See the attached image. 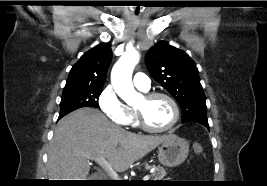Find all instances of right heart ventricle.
<instances>
[{
  "mask_svg": "<svg viewBox=\"0 0 267 186\" xmlns=\"http://www.w3.org/2000/svg\"><path fill=\"white\" fill-rule=\"evenodd\" d=\"M127 124L133 127L138 126L137 116L134 108L126 107Z\"/></svg>",
  "mask_w": 267,
  "mask_h": 186,
  "instance_id": "right-heart-ventricle-1",
  "label": "right heart ventricle"
}]
</instances>
